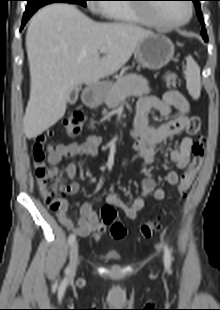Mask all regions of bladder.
Masks as SVG:
<instances>
[{
    "instance_id": "bladder-1",
    "label": "bladder",
    "mask_w": 220,
    "mask_h": 310,
    "mask_svg": "<svg viewBox=\"0 0 220 310\" xmlns=\"http://www.w3.org/2000/svg\"><path fill=\"white\" fill-rule=\"evenodd\" d=\"M105 257L109 260H114L119 258V254L115 251L109 250L105 253Z\"/></svg>"
}]
</instances>
